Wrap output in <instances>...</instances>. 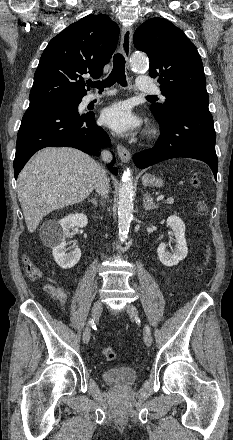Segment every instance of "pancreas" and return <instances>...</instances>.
I'll list each match as a JSON object with an SVG mask.
<instances>
[{
    "mask_svg": "<svg viewBox=\"0 0 233 440\" xmlns=\"http://www.w3.org/2000/svg\"><path fill=\"white\" fill-rule=\"evenodd\" d=\"M165 203L166 204H173L174 203V199L173 198H169V199H167V201Z\"/></svg>",
    "mask_w": 233,
    "mask_h": 440,
    "instance_id": "pancreas-1",
    "label": "pancreas"
}]
</instances>
